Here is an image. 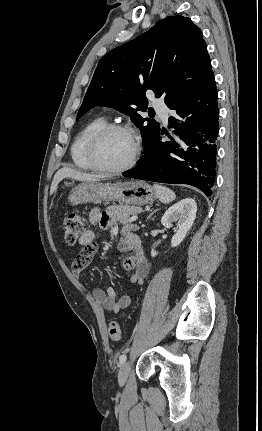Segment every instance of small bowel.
Here are the masks:
<instances>
[{"mask_svg":"<svg viewBox=\"0 0 262 431\" xmlns=\"http://www.w3.org/2000/svg\"><path fill=\"white\" fill-rule=\"evenodd\" d=\"M91 225L98 226L101 229L109 228L112 220L106 211L99 208H93L89 213ZM112 232L120 233L121 241L119 247L130 254L124 260V266L131 269L130 281L135 284H142L149 271V264L145 256L144 246L139 235L136 233L137 225L129 223L119 229L116 226L111 228ZM79 245L83 246V251L73 258L71 263V272L78 285L86 287L85 281L81 277L82 271L89 266L95 253L97 245L94 243V233L92 230L86 231L78 240ZM93 297L107 313L115 314L120 310L131 305V297L123 295L117 298L114 287L109 286L106 291L95 289Z\"/></svg>","mask_w":262,"mask_h":431,"instance_id":"c3829d8e","label":"small bowel"}]
</instances>
